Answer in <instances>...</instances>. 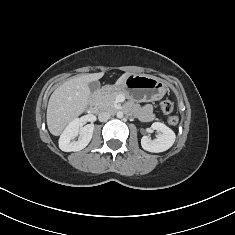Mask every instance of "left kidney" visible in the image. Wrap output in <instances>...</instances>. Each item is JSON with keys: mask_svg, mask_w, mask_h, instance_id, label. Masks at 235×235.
I'll list each match as a JSON object with an SVG mask.
<instances>
[{"mask_svg": "<svg viewBox=\"0 0 235 235\" xmlns=\"http://www.w3.org/2000/svg\"><path fill=\"white\" fill-rule=\"evenodd\" d=\"M151 128L159 131L160 134L155 140H152L148 136H143L141 146L144 150L159 153L168 150L174 144L176 139L175 133L165 124L154 122Z\"/></svg>", "mask_w": 235, "mask_h": 235, "instance_id": "5707ae66", "label": "left kidney"}]
</instances>
